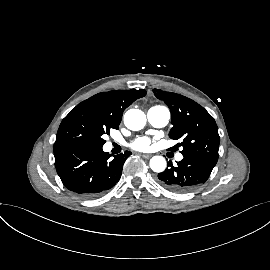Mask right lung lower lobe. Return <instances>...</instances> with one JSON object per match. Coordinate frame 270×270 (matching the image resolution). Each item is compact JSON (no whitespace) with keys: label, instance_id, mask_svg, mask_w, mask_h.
Listing matches in <instances>:
<instances>
[{"label":"right lung lower lobe","instance_id":"right-lung-lower-lobe-1","mask_svg":"<svg viewBox=\"0 0 270 270\" xmlns=\"http://www.w3.org/2000/svg\"><path fill=\"white\" fill-rule=\"evenodd\" d=\"M131 155L115 156L83 144H64L54 146L57 173L70 191L86 198L98 196L112 188L120 179L125 160Z\"/></svg>","mask_w":270,"mask_h":270}]
</instances>
